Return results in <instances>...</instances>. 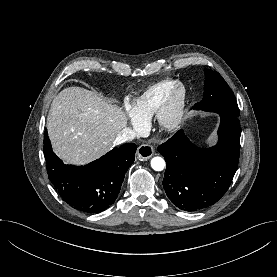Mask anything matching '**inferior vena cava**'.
<instances>
[{"label": "inferior vena cava", "instance_id": "602c4592", "mask_svg": "<svg viewBox=\"0 0 277 277\" xmlns=\"http://www.w3.org/2000/svg\"><path fill=\"white\" fill-rule=\"evenodd\" d=\"M136 138V132L134 129L126 127L116 137L114 144L119 145L127 141H131Z\"/></svg>", "mask_w": 277, "mask_h": 277}]
</instances>
